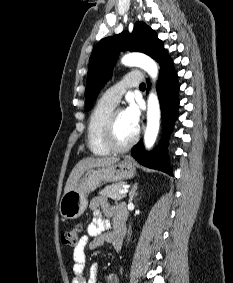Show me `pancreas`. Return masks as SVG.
I'll list each match as a JSON object with an SVG mask.
<instances>
[{
	"label": "pancreas",
	"mask_w": 233,
	"mask_h": 283,
	"mask_svg": "<svg viewBox=\"0 0 233 283\" xmlns=\"http://www.w3.org/2000/svg\"><path fill=\"white\" fill-rule=\"evenodd\" d=\"M125 186L124 182L113 183L107 185L99 194L103 197L111 198L115 201L121 200L125 197V194H120L119 191Z\"/></svg>",
	"instance_id": "cf45deb5"
}]
</instances>
